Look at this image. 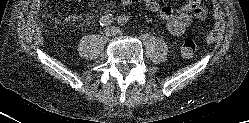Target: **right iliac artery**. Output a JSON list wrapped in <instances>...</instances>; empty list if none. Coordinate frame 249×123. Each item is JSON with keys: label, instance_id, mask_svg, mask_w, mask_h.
<instances>
[{"label": "right iliac artery", "instance_id": "right-iliac-artery-1", "mask_svg": "<svg viewBox=\"0 0 249 123\" xmlns=\"http://www.w3.org/2000/svg\"><path fill=\"white\" fill-rule=\"evenodd\" d=\"M113 15L112 14H107V15H104L101 17L100 21H99V24L101 26H108L112 23L113 21Z\"/></svg>", "mask_w": 249, "mask_h": 123}]
</instances>
